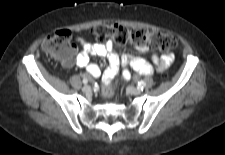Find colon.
<instances>
[{
	"label": "colon",
	"mask_w": 225,
	"mask_h": 155,
	"mask_svg": "<svg viewBox=\"0 0 225 155\" xmlns=\"http://www.w3.org/2000/svg\"><path fill=\"white\" fill-rule=\"evenodd\" d=\"M97 40L112 41L116 45L134 43L136 45L149 44L161 52H168L176 46V39L168 34L148 29H129L120 24H101L92 29ZM72 33L68 30H58L47 37L43 42V50L52 57L64 62H69L74 53V46L71 43ZM165 69L161 75L165 76ZM113 90L106 86L102 90V98L110 100Z\"/></svg>",
	"instance_id": "1"
}]
</instances>
